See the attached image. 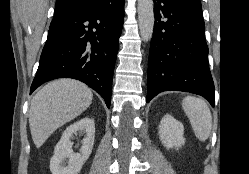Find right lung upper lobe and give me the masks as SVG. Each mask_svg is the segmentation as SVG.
I'll return each instance as SVG.
<instances>
[{
	"mask_svg": "<svg viewBox=\"0 0 249 174\" xmlns=\"http://www.w3.org/2000/svg\"><path fill=\"white\" fill-rule=\"evenodd\" d=\"M115 1L117 0H56L54 18L51 24L76 14L107 7Z\"/></svg>",
	"mask_w": 249,
	"mask_h": 174,
	"instance_id": "obj_1",
	"label": "right lung upper lobe"
}]
</instances>
